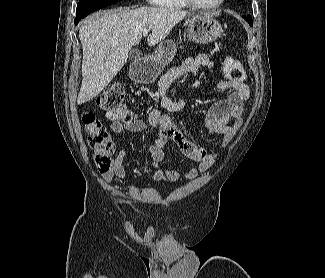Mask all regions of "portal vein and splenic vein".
<instances>
[{"label":"portal vein and splenic vein","instance_id":"18ae733b","mask_svg":"<svg viewBox=\"0 0 325 278\" xmlns=\"http://www.w3.org/2000/svg\"><path fill=\"white\" fill-rule=\"evenodd\" d=\"M148 32H149V29H145V30H143V36H147L148 35Z\"/></svg>","mask_w":325,"mask_h":278}]
</instances>
